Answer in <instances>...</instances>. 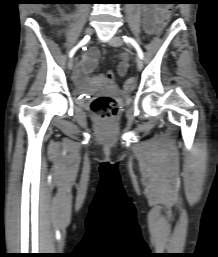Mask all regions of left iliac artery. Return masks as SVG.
<instances>
[{
  "instance_id": "obj_1",
  "label": "left iliac artery",
  "mask_w": 218,
  "mask_h": 257,
  "mask_svg": "<svg viewBox=\"0 0 218 257\" xmlns=\"http://www.w3.org/2000/svg\"><path fill=\"white\" fill-rule=\"evenodd\" d=\"M122 38L124 39L125 42L131 43L132 46L136 49L138 56L141 59H143V57H144L143 51L140 48L139 44L136 42V40H134L133 38L128 37V36H123Z\"/></svg>"
}]
</instances>
